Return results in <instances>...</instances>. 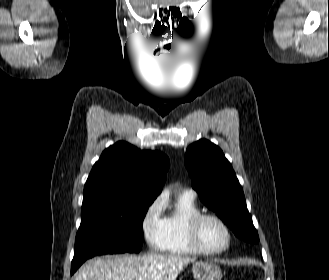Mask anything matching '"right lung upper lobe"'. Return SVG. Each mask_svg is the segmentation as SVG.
Here are the masks:
<instances>
[{"instance_id": "right-lung-upper-lobe-1", "label": "right lung upper lobe", "mask_w": 329, "mask_h": 280, "mask_svg": "<svg viewBox=\"0 0 329 280\" xmlns=\"http://www.w3.org/2000/svg\"><path fill=\"white\" fill-rule=\"evenodd\" d=\"M168 157L119 141L105 149L84 187L82 209L119 197L156 198L166 180Z\"/></svg>"}]
</instances>
